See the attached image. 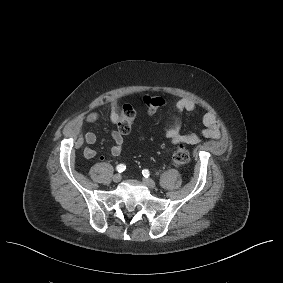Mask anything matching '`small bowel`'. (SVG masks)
<instances>
[{
  "instance_id": "obj_1",
  "label": "small bowel",
  "mask_w": 283,
  "mask_h": 283,
  "mask_svg": "<svg viewBox=\"0 0 283 283\" xmlns=\"http://www.w3.org/2000/svg\"><path fill=\"white\" fill-rule=\"evenodd\" d=\"M175 109L179 114H189L194 111L195 103L188 98H180L176 104ZM107 117L113 124L118 123L119 115L117 110V104L113 101H105L101 104L98 111L88 114L84 119L77 118L71 121L67 127L69 134L77 138L76 145L82 146L84 143L93 145L97 141V135L95 132L89 131L84 136L80 135V130L83 123L95 124L101 119ZM203 127L199 131L184 132L182 125L177 120L174 125L165 132V137L173 144L186 143L189 145L198 144L202 137L218 139L221 136V123L216 114L208 112L204 114L202 119ZM111 140L113 145L110 148V154L112 156H118L123 150L124 138L118 131L111 132ZM83 154L85 158L92 159L96 156V150L91 146H87Z\"/></svg>"
}]
</instances>
